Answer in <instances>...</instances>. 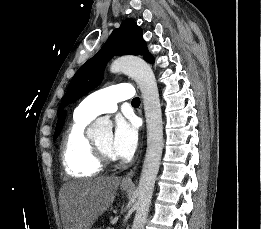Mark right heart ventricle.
Masks as SVG:
<instances>
[{
  "instance_id": "1",
  "label": "right heart ventricle",
  "mask_w": 261,
  "mask_h": 229,
  "mask_svg": "<svg viewBox=\"0 0 261 229\" xmlns=\"http://www.w3.org/2000/svg\"><path fill=\"white\" fill-rule=\"evenodd\" d=\"M83 114L85 113L78 105L60 145L63 167L68 173L81 177L97 175L103 168L95 144L85 132L94 118L84 117Z\"/></svg>"
}]
</instances>
